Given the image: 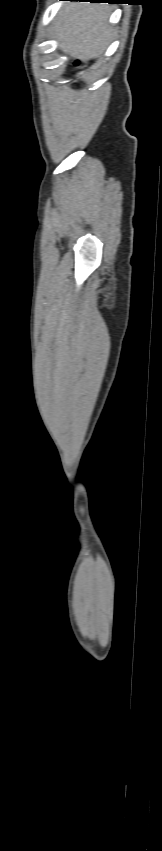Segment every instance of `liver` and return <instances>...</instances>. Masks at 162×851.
I'll list each match as a JSON object with an SVG mask.
<instances>
[{
    "instance_id": "obj_1",
    "label": "liver",
    "mask_w": 162,
    "mask_h": 851,
    "mask_svg": "<svg viewBox=\"0 0 162 851\" xmlns=\"http://www.w3.org/2000/svg\"><path fill=\"white\" fill-rule=\"evenodd\" d=\"M108 17V6L89 2L63 5L53 22L58 48L82 61L100 58L113 35Z\"/></svg>"
}]
</instances>
